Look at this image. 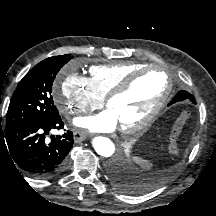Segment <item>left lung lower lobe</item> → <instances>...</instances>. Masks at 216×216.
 Returning a JSON list of instances; mask_svg holds the SVG:
<instances>
[{
    "label": "left lung lower lobe",
    "mask_w": 216,
    "mask_h": 216,
    "mask_svg": "<svg viewBox=\"0 0 216 216\" xmlns=\"http://www.w3.org/2000/svg\"><path fill=\"white\" fill-rule=\"evenodd\" d=\"M185 99H189V95L181 94L180 92H178L171 100L169 105L179 101H183ZM109 174L113 183L116 185L117 188H119L120 190L126 193H130L133 191L134 189L133 178L131 177V175L123 171V168L120 164L114 162L109 168Z\"/></svg>",
    "instance_id": "0a47b994"
}]
</instances>
